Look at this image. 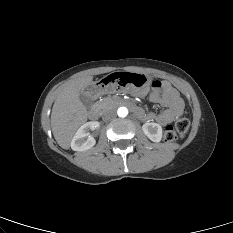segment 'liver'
I'll list each match as a JSON object with an SVG mask.
<instances>
[{
    "label": "liver",
    "mask_w": 233,
    "mask_h": 233,
    "mask_svg": "<svg viewBox=\"0 0 233 233\" xmlns=\"http://www.w3.org/2000/svg\"><path fill=\"white\" fill-rule=\"evenodd\" d=\"M92 76L69 81L57 96L51 112V128L55 140L69 149L77 129L87 121V108L80 101V93L93 84Z\"/></svg>",
    "instance_id": "1"
}]
</instances>
